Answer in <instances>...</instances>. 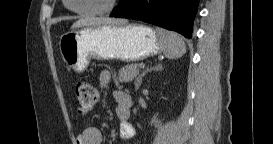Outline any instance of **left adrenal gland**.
Masks as SVG:
<instances>
[{
  "label": "left adrenal gland",
  "instance_id": "a2214340",
  "mask_svg": "<svg viewBox=\"0 0 273 144\" xmlns=\"http://www.w3.org/2000/svg\"><path fill=\"white\" fill-rule=\"evenodd\" d=\"M160 69H162V65L157 64L154 67H150L144 70L143 73L135 81V90L137 91L139 89L140 85L142 84V78L145 76L146 73L151 71H158Z\"/></svg>",
  "mask_w": 273,
  "mask_h": 144
}]
</instances>
